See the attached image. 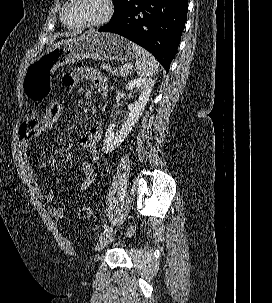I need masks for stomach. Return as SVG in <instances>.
I'll use <instances>...</instances> for the list:
<instances>
[{
	"instance_id": "obj_1",
	"label": "stomach",
	"mask_w": 272,
	"mask_h": 303,
	"mask_svg": "<svg viewBox=\"0 0 272 303\" xmlns=\"http://www.w3.org/2000/svg\"><path fill=\"white\" fill-rule=\"evenodd\" d=\"M135 57L132 43L127 39L89 31L57 42L33 59L24 73L22 89L26 98L41 101L49 96L52 75L63 65L88 58L129 62Z\"/></svg>"
}]
</instances>
